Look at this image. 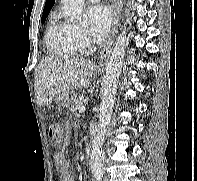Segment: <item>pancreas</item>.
<instances>
[{
	"label": "pancreas",
	"mask_w": 197,
	"mask_h": 181,
	"mask_svg": "<svg viewBox=\"0 0 197 181\" xmlns=\"http://www.w3.org/2000/svg\"><path fill=\"white\" fill-rule=\"evenodd\" d=\"M81 106H83V97L75 98V99L72 101V103H71V108H70V110H71L72 112H77Z\"/></svg>",
	"instance_id": "obj_1"
}]
</instances>
